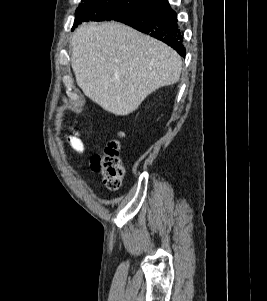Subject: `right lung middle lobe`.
Segmentation results:
<instances>
[{
	"label": "right lung middle lobe",
	"instance_id": "dd1d6c3e",
	"mask_svg": "<svg viewBox=\"0 0 267 301\" xmlns=\"http://www.w3.org/2000/svg\"><path fill=\"white\" fill-rule=\"evenodd\" d=\"M77 8L74 25L89 20H114L116 17L149 6L147 0H82Z\"/></svg>",
	"mask_w": 267,
	"mask_h": 301
}]
</instances>
